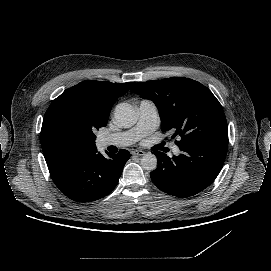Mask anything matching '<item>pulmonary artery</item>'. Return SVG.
I'll return each instance as SVG.
<instances>
[{
  "label": "pulmonary artery",
  "instance_id": "obj_1",
  "mask_svg": "<svg viewBox=\"0 0 271 271\" xmlns=\"http://www.w3.org/2000/svg\"><path fill=\"white\" fill-rule=\"evenodd\" d=\"M158 125L159 113L156 104L150 100H141L138 106L137 124L128 131L99 136L96 147L105 149L111 146H129L155 131ZM172 151L174 155H179L177 146H174Z\"/></svg>",
  "mask_w": 271,
  "mask_h": 271
}]
</instances>
